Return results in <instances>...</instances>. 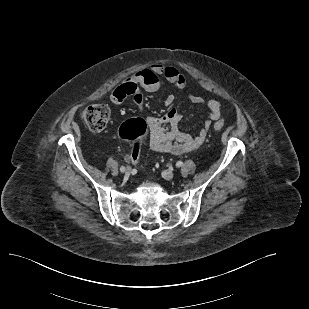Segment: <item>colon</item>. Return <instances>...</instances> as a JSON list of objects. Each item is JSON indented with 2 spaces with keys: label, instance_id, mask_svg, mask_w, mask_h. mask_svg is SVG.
Segmentation results:
<instances>
[{
  "label": "colon",
  "instance_id": "colon-1",
  "mask_svg": "<svg viewBox=\"0 0 309 309\" xmlns=\"http://www.w3.org/2000/svg\"><path fill=\"white\" fill-rule=\"evenodd\" d=\"M110 117V110L106 105L92 104L86 106L81 112V119L85 125L92 131L101 132L107 126ZM215 130H221L224 127L223 121H217L214 124ZM146 122L140 118L126 121L120 128V136L132 144L130 158L133 163L139 159L141 145L146 135Z\"/></svg>",
  "mask_w": 309,
  "mask_h": 309
}]
</instances>
